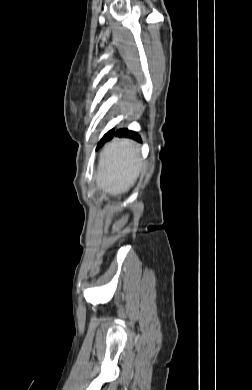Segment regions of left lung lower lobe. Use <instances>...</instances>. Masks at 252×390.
Masks as SVG:
<instances>
[{"mask_svg":"<svg viewBox=\"0 0 252 390\" xmlns=\"http://www.w3.org/2000/svg\"><path fill=\"white\" fill-rule=\"evenodd\" d=\"M114 135V129L110 130L108 133H106L103 138L100 140V142L98 143V146L97 148L101 147L106 141H108L109 139H111ZM115 135L119 136V137H129V138H132L136 141H141V138L140 136L134 132V131H130L128 129H121V130H117L115 132Z\"/></svg>","mask_w":252,"mask_h":390,"instance_id":"left-lung-lower-lobe-1","label":"left lung lower lobe"}]
</instances>
